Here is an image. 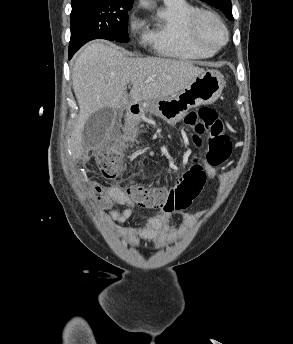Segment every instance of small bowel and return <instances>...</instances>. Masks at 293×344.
<instances>
[{"instance_id": "small-bowel-1", "label": "small bowel", "mask_w": 293, "mask_h": 344, "mask_svg": "<svg viewBox=\"0 0 293 344\" xmlns=\"http://www.w3.org/2000/svg\"><path fill=\"white\" fill-rule=\"evenodd\" d=\"M193 171L195 179L203 185L216 175V172L206 165H197ZM106 191L112 199L114 208L103 216V222L106 228L116 233L123 243L132 247H136L139 240H144L156 248H164L182 237L186 229L204 214V212H200L196 216H192L187 213H179L181 227L178 229L173 225L174 212L159 210L149 216L144 223L127 227L122 224L133 214L135 208L133 199L118 184L107 187Z\"/></svg>"}]
</instances>
